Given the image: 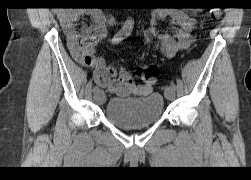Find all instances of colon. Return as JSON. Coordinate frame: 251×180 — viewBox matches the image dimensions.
Returning a JSON list of instances; mask_svg holds the SVG:
<instances>
[{"label":"colon","mask_w":251,"mask_h":180,"mask_svg":"<svg viewBox=\"0 0 251 180\" xmlns=\"http://www.w3.org/2000/svg\"><path fill=\"white\" fill-rule=\"evenodd\" d=\"M212 15L215 17L219 16V10L215 9L212 11ZM137 77L146 86H153L158 79V68L155 65H145L137 70Z\"/></svg>","instance_id":"obj_1"}]
</instances>
